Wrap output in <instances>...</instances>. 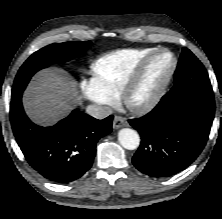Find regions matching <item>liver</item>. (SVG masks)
<instances>
[{"label": "liver", "mask_w": 222, "mask_h": 219, "mask_svg": "<svg viewBox=\"0 0 222 219\" xmlns=\"http://www.w3.org/2000/svg\"><path fill=\"white\" fill-rule=\"evenodd\" d=\"M82 103L77 84L60 68L38 72L24 93V107L36 123L50 125Z\"/></svg>", "instance_id": "liver-1"}]
</instances>
